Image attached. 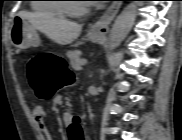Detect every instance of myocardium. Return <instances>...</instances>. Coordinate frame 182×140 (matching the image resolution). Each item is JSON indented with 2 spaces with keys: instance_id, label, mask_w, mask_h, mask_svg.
I'll list each match as a JSON object with an SVG mask.
<instances>
[{
  "instance_id": "myocardium-1",
  "label": "myocardium",
  "mask_w": 182,
  "mask_h": 140,
  "mask_svg": "<svg viewBox=\"0 0 182 140\" xmlns=\"http://www.w3.org/2000/svg\"><path fill=\"white\" fill-rule=\"evenodd\" d=\"M64 1L65 2H62L60 7L62 11L70 17H79L84 15L88 11L87 4H83L79 8H74L73 6H71V2H67L68 0H64Z\"/></svg>"
}]
</instances>
